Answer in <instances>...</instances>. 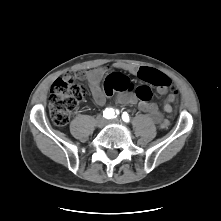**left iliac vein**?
<instances>
[{"label": "left iliac vein", "mask_w": 221, "mask_h": 221, "mask_svg": "<svg viewBox=\"0 0 221 221\" xmlns=\"http://www.w3.org/2000/svg\"><path fill=\"white\" fill-rule=\"evenodd\" d=\"M109 123L120 124V121L118 119H113Z\"/></svg>", "instance_id": "obj_1"}]
</instances>
